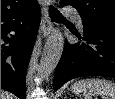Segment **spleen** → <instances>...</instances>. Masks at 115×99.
Returning a JSON list of instances; mask_svg holds the SVG:
<instances>
[{"label":"spleen","instance_id":"3e777b00","mask_svg":"<svg viewBox=\"0 0 115 99\" xmlns=\"http://www.w3.org/2000/svg\"><path fill=\"white\" fill-rule=\"evenodd\" d=\"M75 94L83 93L85 99L99 95L102 99H115V84L105 79H83L72 86Z\"/></svg>","mask_w":115,"mask_h":99}]
</instances>
